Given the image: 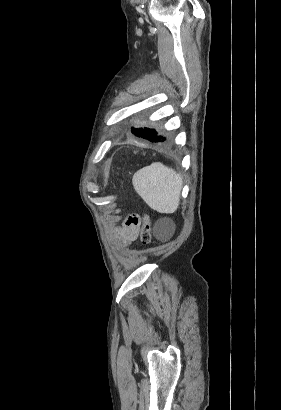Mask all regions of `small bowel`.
I'll return each instance as SVG.
<instances>
[{
    "instance_id": "1",
    "label": "small bowel",
    "mask_w": 281,
    "mask_h": 410,
    "mask_svg": "<svg viewBox=\"0 0 281 410\" xmlns=\"http://www.w3.org/2000/svg\"><path fill=\"white\" fill-rule=\"evenodd\" d=\"M139 233V225L136 223H131L129 218L126 220L124 225L118 230V235L126 242L130 243L134 241Z\"/></svg>"
}]
</instances>
